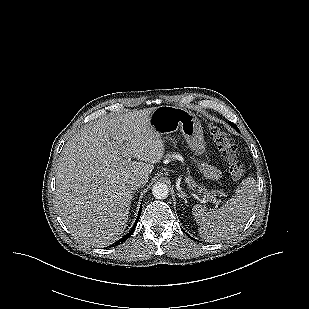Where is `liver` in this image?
<instances>
[{
    "label": "liver",
    "mask_w": 309,
    "mask_h": 309,
    "mask_svg": "<svg viewBox=\"0 0 309 309\" xmlns=\"http://www.w3.org/2000/svg\"><path fill=\"white\" fill-rule=\"evenodd\" d=\"M150 114L128 112L94 122L65 144L56 168L55 205L79 241L103 247L124 232L135 192L130 180L148 179L165 151L149 125Z\"/></svg>",
    "instance_id": "1"
}]
</instances>
